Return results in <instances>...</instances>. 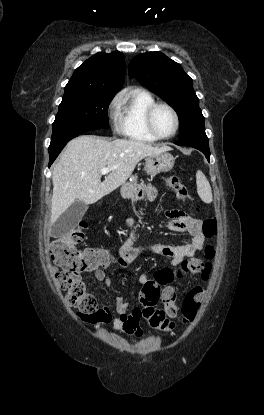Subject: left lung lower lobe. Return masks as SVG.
Segmentation results:
<instances>
[{"mask_svg":"<svg viewBox=\"0 0 264 415\" xmlns=\"http://www.w3.org/2000/svg\"><path fill=\"white\" fill-rule=\"evenodd\" d=\"M175 144L179 146H190L196 148L206 156L208 161H210V150L207 136L180 140Z\"/></svg>","mask_w":264,"mask_h":415,"instance_id":"obj_1","label":"left lung lower lobe"}]
</instances>
